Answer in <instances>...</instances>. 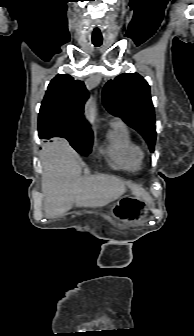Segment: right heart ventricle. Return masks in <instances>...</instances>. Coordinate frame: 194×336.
<instances>
[{"label": "right heart ventricle", "mask_w": 194, "mask_h": 336, "mask_svg": "<svg viewBox=\"0 0 194 336\" xmlns=\"http://www.w3.org/2000/svg\"><path fill=\"white\" fill-rule=\"evenodd\" d=\"M104 153L114 167L126 170L138 169L143 159L141 147L123 123L111 126Z\"/></svg>", "instance_id": "right-heart-ventricle-1"}]
</instances>
